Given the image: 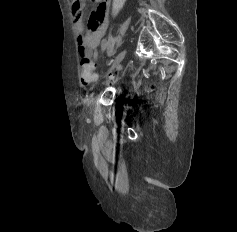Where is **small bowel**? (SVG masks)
Instances as JSON below:
<instances>
[{"instance_id":"1","label":"small bowel","mask_w":237,"mask_h":232,"mask_svg":"<svg viewBox=\"0 0 237 232\" xmlns=\"http://www.w3.org/2000/svg\"><path fill=\"white\" fill-rule=\"evenodd\" d=\"M96 7L90 14L88 25L85 27L83 10L85 0H73L72 11L78 31L77 44L81 60L96 59L98 46L104 37L108 23L110 7L113 0H93Z\"/></svg>"}]
</instances>
